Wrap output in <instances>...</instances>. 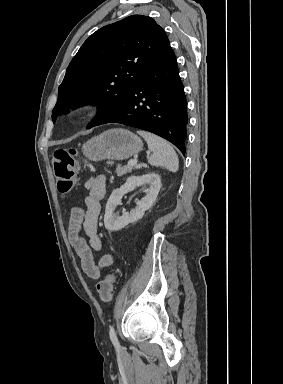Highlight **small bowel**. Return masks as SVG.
I'll return each instance as SVG.
<instances>
[{"mask_svg": "<svg viewBox=\"0 0 283 384\" xmlns=\"http://www.w3.org/2000/svg\"><path fill=\"white\" fill-rule=\"evenodd\" d=\"M86 209L74 208L69 222V237L83 272L92 279H98L104 267L112 264L110 255L95 261L94 253L100 252L102 242L97 234L98 217L101 210V200L106 193V178L104 175H94L86 183ZM84 232L89 241L86 242L80 233Z\"/></svg>", "mask_w": 283, "mask_h": 384, "instance_id": "obj_1", "label": "small bowel"}]
</instances>
